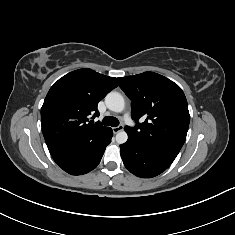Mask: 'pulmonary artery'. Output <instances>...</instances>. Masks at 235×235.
Instances as JSON below:
<instances>
[{"instance_id":"pulmonary-artery-1","label":"pulmonary artery","mask_w":235,"mask_h":235,"mask_svg":"<svg viewBox=\"0 0 235 235\" xmlns=\"http://www.w3.org/2000/svg\"><path fill=\"white\" fill-rule=\"evenodd\" d=\"M124 119H125L126 123H128L131 127H134V124L132 123L129 114H125Z\"/></svg>"}]
</instances>
